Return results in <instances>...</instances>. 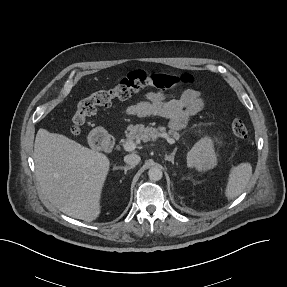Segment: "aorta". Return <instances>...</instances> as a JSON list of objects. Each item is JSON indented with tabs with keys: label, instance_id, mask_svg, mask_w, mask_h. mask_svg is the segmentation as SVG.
<instances>
[{
	"label": "aorta",
	"instance_id": "obj_1",
	"mask_svg": "<svg viewBox=\"0 0 287 287\" xmlns=\"http://www.w3.org/2000/svg\"><path fill=\"white\" fill-rule=\"evenodd\" d=\"M148 176L151 180L153 181H158L162 178L163 172L160 168L158 167H152L148 171Z\"/></svg>",
	"mask_w": 287,
	"mask_h": 287
}]
</instances>
